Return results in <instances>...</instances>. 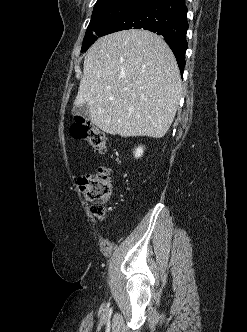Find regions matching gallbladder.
<instances>
[{
	"instance_id": "1",
	"label": "gallbladder",
	"mask_w": 247,
	"mask_h": 332,
	"mask_svg": "<svg viewBox=\"0 0 247 332\" xmlns=\"http://www.w3.org/2000/svg\"><path fill=\"white\" fill-rule=\"evenodd\" d=\"M72 113H73V115H81L86 119H88L90 116L89 108H88L87 104L75 106L72 110Z\"/></svg>"
}]
</instances>
